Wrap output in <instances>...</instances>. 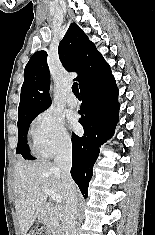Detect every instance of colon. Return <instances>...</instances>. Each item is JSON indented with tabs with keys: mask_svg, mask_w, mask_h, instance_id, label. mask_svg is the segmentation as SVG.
I'll list each match as a JSON object with an SVG mask.
<instances>
[{
	"mask_svg": "<svg viewBox=\"0 0 155 235\" xmlns=\"http://www.w3.org/2000/svg\"><path fill=\"white\" fill-rule=\"evenodd\" d=\"M27 235H46V234L41 231H32V232L28 233Z\"/></svg>",
	"mask_w": 155,
	"mask_h": 235,
	"instance_id": "1",
	"label": "colon"
}]
</instances>
